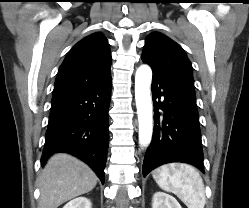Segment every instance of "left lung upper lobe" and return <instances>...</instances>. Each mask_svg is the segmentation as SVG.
<instances>
[{"label":"left lung upper lobe","mask_w":249,"mask_h":208,"mask_svg":"<svg viewBox=\"0 0 249 208\" xmlns=\"http://www.w3.org/2000/svg\"><path fill=\"white\" fill-rule=\"evenodd\" d=\"M142 60L153 72L175 78L195 90L192 65L179 44L154 32L147 36Z\"/></svg>","instance_id":"obj_1"}]
</instances>
